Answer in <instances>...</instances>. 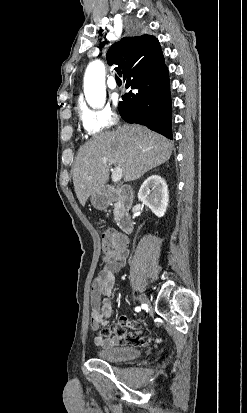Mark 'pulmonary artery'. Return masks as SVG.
I'll list each match as a JSON object with an SVG mask.
<instances>
[{
  "label": "pulmonary artery",
  "instance_id": "e3ab8cb5",
  "mask_svg": "<svg viewBox=\"0 0 247 413\" xmlns=\"http://www.w3.org/2000/svg\"><path fill=\"white\" fill-rule=\"evenodd\" d=\"M107 86L111 89V90H116L118 88V84L114 78V76H109L108 80H107Z\"/></svg>",
  "mask_w": 247,
  "mask_h": 413
}]
</instances>
